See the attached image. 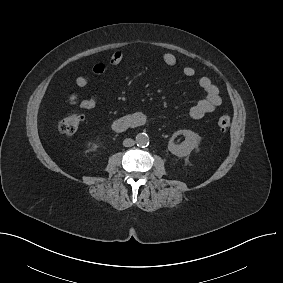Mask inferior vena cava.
Masks as SVG:
<instances>
[{"mask_svg": "<svg viewBox=\"0 0 283 283\" xmlns=\"http://www.w3.org/2000/svg\"><path fill=\"white\" fill-rule=\"evenodd\" d=\"M135 144V141L131 138H126L124 141H123V146L125 147H131Z\"/></svg>", "mask_w": 283, "mask_h": 283, "instance_id": "obj_1", "label": "inferior vena cava"}]
</instances>
